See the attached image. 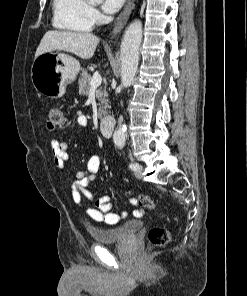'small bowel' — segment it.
<instances>
[{"instance_id":"c3829d8e","label":"small bowel","mask_w":247,"mask_h":296,"mask_svg":"<svg viewBox=\"0 0 247 296\" xmlns=\"http://www.w3.org/2000/svg\"><path fill=\"white\" fill-rule=\"evenodd\" d=\"M75 121L79 127L88 126L89 122L87 117L81 112L75 113ZM54 164L59 169L65 167L68 160V146L65 143H61L56 139L51 142ZM101 165V158L98 154H93L87 162V171L79 172L76 179L70 183V189L72 192V198L78 205L82 204L83 198H86L94 204V207L87 208V215L94 221L104 223L107 225H115L121 222L126 213H116L113 211V204L111 203V196L109 194L102 195L100 197H94L89 190V185L96 179V174ZM123 195L132 203L136 204V201L129 198L126 193Z\"/></svg>"}]
</instances>
